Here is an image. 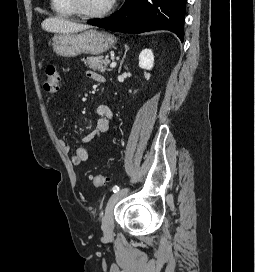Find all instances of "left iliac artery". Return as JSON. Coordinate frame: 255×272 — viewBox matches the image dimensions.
I'll use <instances>...</instances> for the list:
<instances>
[{
	"instance_id": "1",
	"label": "left iliac artery",
	"mask_w": 255,
	"mask_h": 272,
	"mask_svg": "<svg viewBox=\"0 0 255 272\" xmlns=\"http://www.w3.org/2000/svg\"><path fill=\"white\" fill-rule=\"evenodd\" d=\"M112 190H113V192L115 193V192H119V187L118 186H114L113 188H112Z\"/></svg>"
}]
</instances>
